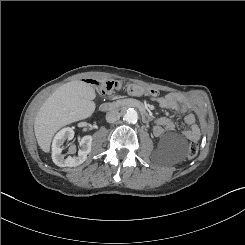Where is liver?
Masks as SVG:
<instances>
[{
  "label": "liver",
  "mask_w": 245,
  "mask_h": 245,
  "mask_svg": "<svg viewBox=\"0 0 245 245\" xmlns=\"http://www.w3.org/2000/svg\"><path fill=\"white\" fill-rule=\"evenodd\" d=\"M95 97L93 87L80 80L56 89L35 117L34 131L39 147L49 152L52 138L60 128L90 117L96 108Z\"/></svg>",
  "instance_id": "1"
}]
</instances>
